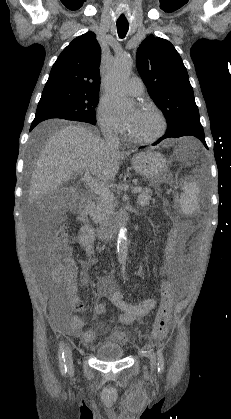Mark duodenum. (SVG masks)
I'll return each mask as SVG.
<instances>
[{
  "mask_svg": "<svg viewBox=\"0 0 231 419\" xmlns=\"http://www.w3.org/2000/svg\"><path fill=\"white\" fill-rule=\"evenodd\" d=\"M92 198L90 196H85L78 210V219L85 226L90 227V210L92 208ZM128 222V218L124 214H118L109 222L99 225L97 227V234L101 240H107L113 237L119 229Z\"/></svg>",
  "mask_w": 231,
  "mask_h": 419,
  "instance_id": "duodenum-1",
  "label": "duodenum"
}]
</instances>
